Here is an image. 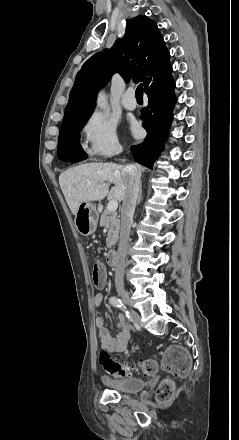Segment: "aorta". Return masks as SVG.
I'll return each instance as SVG.
<instances>
[{
	"label": "aorta",
	"instance_id": "aorta-1",
	"mask_svg": "<svg viewBox=\"0 0 239 440\" xmlns=\"http://www.w3.org/2000/svg\"><path fill=\"white\" fill-rule=\"evenodd\" d=\"M97 106L98 108H101V110H105L107 106V98L103 92H100L98 98H97Z\"/></svg>",
	"mask_w": 239,
	"mask_h": 440
}]
</instances>
